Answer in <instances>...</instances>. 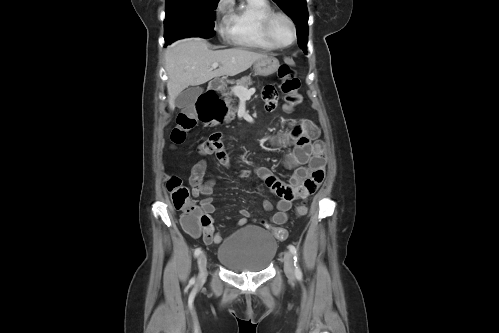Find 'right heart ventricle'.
<instances>
[{
    "label": "right heart ventricle",
    "instance_id": "obj_1",
    "mask_svg": "<svg viewBox=\"0 0 499 333\" xmlns=\"http://www.w3.org/2000/svg\"><path fill=\"white\" fill-rule=\"evenodd\" d=\"M274 11L269 0H241L228 5V38L242 48L271 51L276 47L263 31L264 18Z\"/></svg>",
    "mask_w": 499,
    "mask_h": 333
}]
</instances>
